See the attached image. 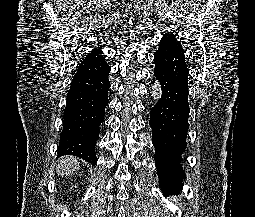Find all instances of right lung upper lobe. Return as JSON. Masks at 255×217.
<instances>
[{"label": "right lung upper lobe", "mask_w": 255, "mask_h": 217, "mask_svg": "<svg viewBox=\"0 0 255 217\" xmlns=\"http://www.w3.org/2000/svg\"><path fill=\"white\" fill-rule=\"evenodd\" d=\"M102 54L103 52L101 50H93L91 53L87 54L82 62L103 59Z\"/></svg>", "instance_id": "1"}]
</instances>
